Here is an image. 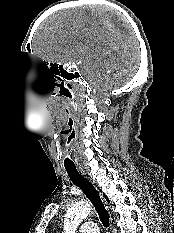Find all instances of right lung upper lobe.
<instances>
[{
    "instance_id": "cb5924a9",
    "label": "right lung upper lobe",
    "mask_w": 174,
    "mask_h": 233,
    "mask_svg": "<svg viewBox=\"0 0 174 233\" xmlns=\"http://www.w3.org/2000/svg\"><path fill=\"white\" fill-rule=\"evenodd\" d=\"M104 197L106 198V200L109 202V200H108V198H107V196L104 194Z\"/></svg>"
}]
</instances>
